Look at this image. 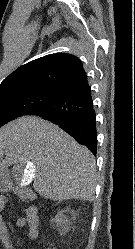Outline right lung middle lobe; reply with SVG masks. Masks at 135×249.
I'll return each mask as SVG.
<instances>
[{
    "label": "right lung middle lobe",
    "mask_w": 135,
    "mask_h": 249,
    "mask_svg": "<svg viewBox=\"0 0 135 249\" xmlns=\"http://www.w3.org/2000/svg\"><path fill=\"white\" fill-rule=\"evenodd\" d=\"M59 94L54 91H30L0 95V127L19 116L28 115L32 110L48 103Z\"/></svg>",
    "instance_id": "right-lung-middle-lobe-1"
}]
</instances>
